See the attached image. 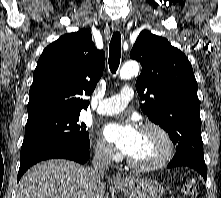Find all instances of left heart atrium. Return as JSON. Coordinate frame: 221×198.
Returning <instances> with one entry per match:
<instances>
[{"label":"left heart atrium","mask_w":221,"mask_h":198,"mask_svg":"<svg viewBox=\"0 0 221 198\" xmlns=\"http://www.w3.org/2000/svg\"><path fill=\"white\" fill-rule=\"evenodd\" d=\"M103 135L119 151L129 156L139 140L140 132L133 122L127 121L107 124Z\"/></svg>","instance_id":"1"}]
</instances>
